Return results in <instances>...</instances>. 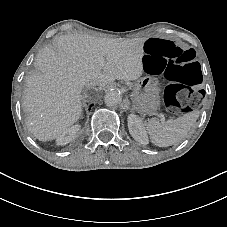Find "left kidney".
<instances>
[{"instance_id":"obj_1","label":"left kidney","mask_w":227,"mask_h":227,"mask_svg":"<svg viewBox=\"0 0 227 227\" xmlns=\"http://www.w3.org/2000/svg\"><path fill=\"white\" fill-rule=\"evenodd\" d=\"M128 129L132 137L139 143L145 145L148 143L147 135L141 120L135 115L128 116Z\"/></svg>"}]
</instances>
